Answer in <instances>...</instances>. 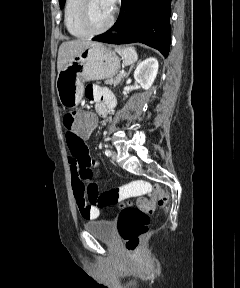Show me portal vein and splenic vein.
I'll use <instances>...</instances> for the list:
<instances>
[{
    "mask_svg": "<svg viewBox=\"0 0 240 288\" xmlns=\"http://www.w3.org/2000/svg\"><path fill=\"white\" fill-rule=\"evenodd\" d=\"M122 74H124V71H121V72H120V75H122Z\"/></svg>",
    "mask_w": 240,
    "mask_h": 288,
    "instance_id": "1",
    "label": "portal vein and splenic vein"
}]
</instances>
